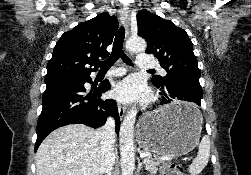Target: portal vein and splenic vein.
<instances>
[{
	"instance_id": "1",
	"label": "portal vein and splenic vein",
	"mask_w": 251,
	"mask_h": 175,
	"mask_svg": "<svg viewBox=\"0 0 251 175\" xmlns=\"http://www.w3.org/2000/svg\"><path fill=\"white\" fill-rule=\"evenodd\" d=\"M146 155H149V153H140V157H146ZM150 157H155V154H150ZM156 157H163L164 160H171L172 162L180 159L179 155L156 154ZM84 175H88V173H84Z\"/></svg>"
}]
</instances>
